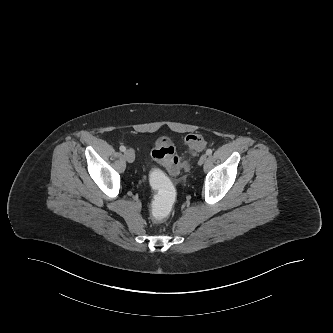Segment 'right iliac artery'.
<instances>
[{
    "mask_svg": "<svg viewBox=\"0 0 333 333\" xmlns=\"http://www.w3.org/2000/svg\"><path fill=\"white\" fill-rule=\"evenodd\" d=\"M120 151L124 152L126 150V147L125 146H120Z\"/></svg>",
    "mask_w": 333,
    "mask_h": 333,
    "instance_id": "right-iliac-artery-1",
    "label": "right iliac artery"
}]
</instances>
